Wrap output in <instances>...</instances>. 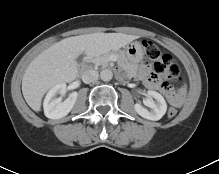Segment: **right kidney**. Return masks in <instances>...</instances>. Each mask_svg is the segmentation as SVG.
<instances>
[{"instance_id": "1", "label": "right kidney", "mask_w": 219, "mask_h": 174, "mask_svg": "<svg viewBox=\"0 0 219 174\" xmlns=\"http://www.w3.org/2000/svg\"><path fill=\"white\" fill-rule=\"evenodd\" d=\"M66 85L64 83L55 85L52 87L43 103L44 114L49 119H60L68 115V113L72 110L76 100H77V92H73L70 96L62 102L61 98H57V94H65Z\"/></svg>"}]
</instances>
